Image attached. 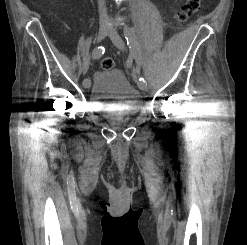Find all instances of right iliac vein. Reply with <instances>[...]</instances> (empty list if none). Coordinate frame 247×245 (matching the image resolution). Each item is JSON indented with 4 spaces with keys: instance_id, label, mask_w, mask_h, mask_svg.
I'll return each instance as SVG.
<instances>
[{
    "instance_id": "obj_1",
    "label": "right iliac vein",
    "mask_w": 247,
    "mask_h": 245,
    "mask_svg": "<svg viewBox=\"0 0 247 245\" xmlns=\"http://www.w3.org/2000/svg\"><path fill=\"white\" fill-rule=\"evenodd\" d=\"M108 34H109V28H107L105 26H101L99 28V32L97 35V39H96L97 42L98 43L101 42ZM82 84H83L84 88H89L91 85V81L89 79H84Z\"/></svg>"
}]
</instances>
